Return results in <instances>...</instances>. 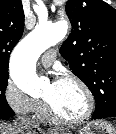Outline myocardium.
I'll return each mask as SVG.
<instances>
[{
	"label": "myocardium",
	"instance_id": "1",
	"mask_svg": "<svg viewBox=\"0 0 116 134\" xmlns=\"http://www.w3.org/2000/svg\"><path fill=\"white\" fill-rule=\"evenodd\" d=\"M58 81L73 82L81 88V90L83 91L85 98H86V110L79 117L67 118V117L61 115L60 113H58L47 99H44L48 114L54 120H56L60 123H63V124H68V125H78V124H81V123L85 122L86 120H88L91 117V115L93 114L94 108H95V99H94L93 93L90 90V88L88 87V85L80 78H78L74 75H71V74H67V75H63V76L59 77Z\"/></svg>",
	"mask_w": 116,
	"mask_h": 134
}]
</instances>
